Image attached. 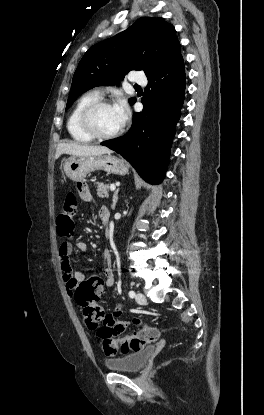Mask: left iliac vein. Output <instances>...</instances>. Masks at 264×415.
I'll return each instance as SVG.
<instances>
[{
  "mask_svg": "<svg viewBox=\"0 0 264 415\" xmlns=\"http://www.w3.org/2000/svg\"><path fill=\"white\" fill-rule=\"evenodd\" d=\"M136 302L139 304H145L146 303L145 295L141 292H138L136 295Z\"/></svg>",
  "mask_w": 264,
  "mask_h": 415,
  "instance_id": "4c4485c4",
  "label": "left iliac vein"
}]
</instances>
